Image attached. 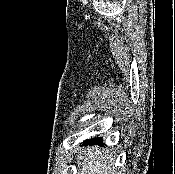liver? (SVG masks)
I'll return each mask as SVG.
<instances>
[{
    "instance_id": "6515ba94",
    "label": "liver",
    "mask_w": 175,
    "mask_h": 174,
    "mask_svg": "<svg viewBox=\"0 0 175 174\" xmlns=\"http://www.w3.org/2000/svg\"><path fill=\"white\" fill-rule=\"evenodd\" d=\"M99 147H88L77 156L80 174H117L114 158Z\"/></svg>"
}]
</instances>
